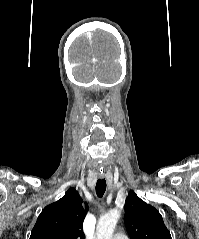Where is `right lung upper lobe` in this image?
Returning <instances> with one entry per match:
<instances>
[{
  "label": "right lung upper lobe",
  "mask_w": 199,
  "mask_h": 239,
  "mask_svg": "<svg viewBox=\"0 0 199 239\" xmlns=\"http://www.w3.org/2000/svg\"><path fill=\"white\" fill-rule=\"evenodd\" d=\"M87 208H83L79 193L70 188L60 200L42 210L30 239H84Z\"/></svg>",
  "instance_id": "1"
}]
</instances>
